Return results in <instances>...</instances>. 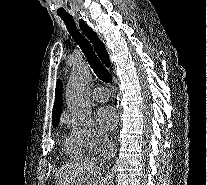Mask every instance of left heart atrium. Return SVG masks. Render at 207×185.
Masks as SVG:
<instances>
[{
  "mask_svg": "<svg viewBox=\"0 0 207 185\" xmlns=\"http://www.w3.org/2000/svg\"><path fill=\"white\" fill-rule=\"evenodd\" d=\"M97 120L102 129L110 130L117 121V112L110 106H102L97 112Z\"/></svg>",
  "mask_w": 207,
  "mask_h": 185,
  "instance_id": "1",
  "label": "left heart atrium"
}]
</instances>
